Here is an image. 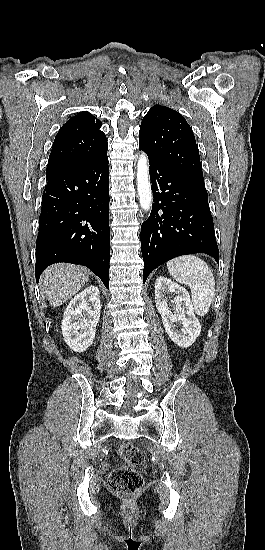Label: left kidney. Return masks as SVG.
<instances>
[{
  "label": "left kidney",
  "instance_id": "1",
  "mask_svg": "<svg viewBox=\"0 0 265 550\" xmlns=\"http://www.w3.org/2000/svg\"><path fill=\"white\" fill-rule=\"evenodd\" d=\"M175 293V311L168 307L165 292ZM155 303L170 339L180 347L191 346L200 335L201 325L196 318L188 291L165 277L155 282ZM177 325H181L178 329Z\"/></svg>",
  "mask_w": 265,
  "mask_h": 550
}]
</instances>
